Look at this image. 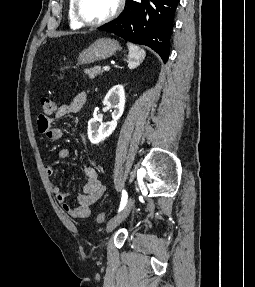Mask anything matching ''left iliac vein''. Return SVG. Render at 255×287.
<instances>
[{"instance_id":"4c4485c4","label":"left iliac vein","mask_w":255,"mask_h":287,"mask_svg":"<svg viewBox=\"0 0 255 287\" xmlns=\"http://www.w3.org/2000/svg\"><path fill=\"white\" fill-rule=\"evenodd\" d=\"M133 207V198L129 197L127 200L126 205L124 208L114 217L112 218L107 226H106V232H111L113 229H115L121 222H123L126 217L129 215L131 209Z\"/></svg>"}]
</instances>
